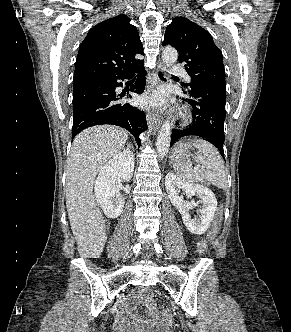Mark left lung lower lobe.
<instances>
[{
	"instance_id": "0a47b994",
	"label": "left lung lower lobe",
	"mask_w": 291,
	"mask_h": 332,
	"mask_svg": "<svg viewBox=\"0 0 291 332\" xmlns=\"http://www.w3.org/2000/svg\"><path fill=\"white\" fill-rule=\"evenodd\" d=\"M185 94L189 96L185 101L194 109L193 124L183 130L174 129L171 145L181 137L195 135L208 140L224 158L225 85L197 82Z\"/></svg>"
}]
</instances>
